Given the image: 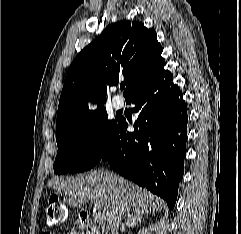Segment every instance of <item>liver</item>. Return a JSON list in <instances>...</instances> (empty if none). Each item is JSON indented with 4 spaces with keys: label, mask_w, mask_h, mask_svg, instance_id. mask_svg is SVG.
<instances>
[{
    "label": "liver",
    "mask_w": 241,
    "mask_h": 234,
    "mask_svg": "<svg viewBox=\"0 0 241 234\" xmlns=\"http://www.w3.org/2000/svg\"><path fill=\"white\" fill-rule=\"evenodd\" d=\"M47 186L62 191L64 201L72 207L98 203L103 221L107 222L116 213L142 216L163 207L159 198L109 171L92 170L66 180L52 179Z\"/></svg>",
    "instance_id": "6515ba94"
}]
</instances>
